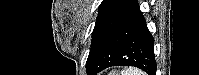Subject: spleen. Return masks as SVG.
Wrapping results in <instances>:
<instances>
[{
	"mask_svg": "<svg viewBox=\"0 0 199 75\" xmlns=\"http://www.w3.org/2000/svg\"><path fill=\"white\" fill-rule=\"evenodd\" d=\"M124 75H144V73L137 68H129L125 71Z\"/></svg>",
	"mask_w": 199,
	"mask_h": 75,
	"instance_id": "3e777b00",
	"label": "spleen"
}]
</instances>
